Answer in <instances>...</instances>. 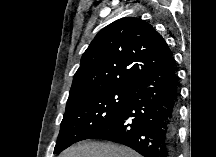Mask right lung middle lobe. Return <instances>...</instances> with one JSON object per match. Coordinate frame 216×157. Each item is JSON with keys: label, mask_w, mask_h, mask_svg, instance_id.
Instances as JSON below:
<instances>
[{"label": "right lung middle lobe", "mask_w": 216, "mask_h": 157, "mask_svg": "<svg viewBox=\"0 0 216 157\" xmlns=\"http://www.w3.org/2000/svg\"><path fill=\"white\" fill-rule=\"evenodd\" d=\"M132 86L88 92L66 105L54 153L89 139L109 124L126 106Z\"/></svg>", "instance_id": "dd1d6c3e"}]
</instances>
